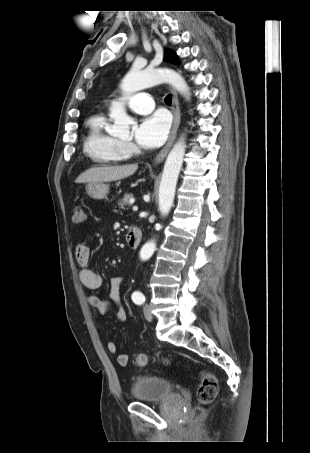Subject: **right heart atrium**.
I'll return each instance as SVG.
<instances>
[{"label": "right heart atrium", "mask_w": 310, "mask_h": 453, "mask_svg": "<svg viewBox=\"0 0 310 453\" xmlns=\"http://www.w3.org/2000/svg\"><path fill=\"white\" fill-rule=\"evenodd\" d=\"M123 147L127 154H131L135 150L134 145L130 142H123Z\"/></svg>", "instance_id": "right-heart-atrium-1"}]
</instances>
